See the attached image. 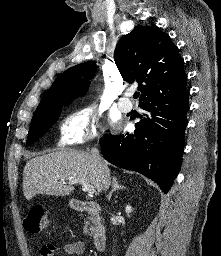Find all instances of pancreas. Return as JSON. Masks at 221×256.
Wrapping results in <instances>:
<instances>
[{
    "label": "pancreas",
    "mask_w": 221,
    "mask_h": 256,
    "mask_svg": "<svg viewBox=\"0 0 221 256\" xmlns=\"http://www.w3.org/2000/svg\"><path fill=\"white\" fill-rule=\"evenodd\" d=\"M89 222L85 220L84 233H88Z\"/></svg>",
    "instance_id": "cf45deb5"
}]
</instances>
